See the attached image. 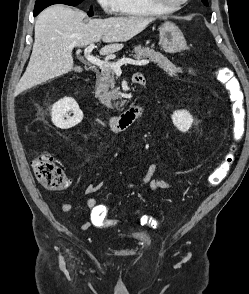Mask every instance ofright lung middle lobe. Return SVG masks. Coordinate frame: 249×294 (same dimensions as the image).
I'll return each mask as SVG.
<instances>
[{
	"label": "right lung middle lobe",
	"mask_w": 249,
	"mask_h": 294,
	"mask_svg": "<svg viewBox=\"0 0 249 294\" xmlns=\"http://www.w3.org/2000/svg\"><path fill=\"white\" fill-rule=\"evenodd\" d=\"M83 0H36L35 3V9L34 10H38L41 9L43 10L44 8L53 5V4H66V5H70V6H76L79 3H81ZM89 16H92V10H90V12L88 13Z\"/></svg>",
	"instance_id": "dd1d6c3e"
}]
</instances>
